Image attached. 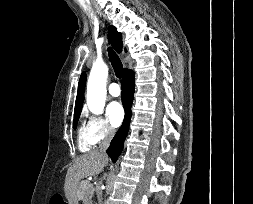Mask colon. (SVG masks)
I'll return each mask as SVG.
<instances>
[{
    "mask_svg": "<svg viewBox=\"0 0 253 204\" xmlns=\"http://www.w3.org/2000/svg\"><path fill=\"white\" fill-rule=\"evenodd\" d=\"M50 204H64L63 201L57 197H53L50 200Z\"/></svg>",
    "mask_w": 253,
    "mask_h": 204,
    "instance_id": "colon-1",
    "label": "colon"
}]
</instances>
